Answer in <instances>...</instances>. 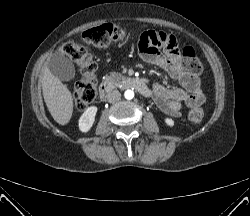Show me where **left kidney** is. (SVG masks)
<instances>
[{"mask_svg": "<svg viewBox=\"0 0 250 216\" xmlns=\"http://www.w3.org/2000/svg\"><path fill=\"white\" fill-rule=\"evenodd\" d=\"M165 123L169 126V127H173L174 126V120L171 118H165L164 119Z\"/></svg>", "mask_w": 250, "mask_h": 216, "instance_id": "5707ae66", "label": "left kidney"}]
</instances>
